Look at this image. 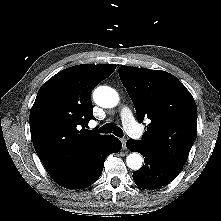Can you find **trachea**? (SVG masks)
<instances>
[{
    "instance_id": "1",
    "label": "trachea",
    "mask_w": 221,
    "mask_h": 221,
    "mask_svg": "<svg viewBox=\"0 0 221 221\" xmlns=\"http://www.w3.org/2000/svg\"><path fill=\"white\" fill-rule=\"evenodd\" d=\"M100 133H113L117 137L123 136V131L120 127L115 124L107 123L99 129Z\"/></svg>"
}]
</instances>
